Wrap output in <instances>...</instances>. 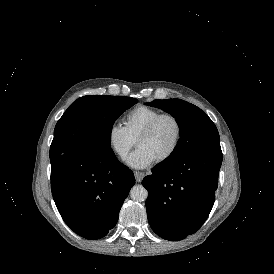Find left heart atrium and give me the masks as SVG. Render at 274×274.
I'll return each mask as SVG.
<instances>
[{"label": "left heart atrium", "instance_id": "left-heart-atrium-1", "mask_svg": "<svg viewBox=\"0 0 274 274\" xmlns=\"http://www.w3.org/2000/svg\"><path fill=\"white\" fill-rule=\"evenodd\" d=\"M126 162L132 168L142 169L151 165L154 161L145 149L137 147L126 157Z\"/></svg>", "mask_w": 274, "mask_h": 274}]
</instances>
